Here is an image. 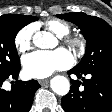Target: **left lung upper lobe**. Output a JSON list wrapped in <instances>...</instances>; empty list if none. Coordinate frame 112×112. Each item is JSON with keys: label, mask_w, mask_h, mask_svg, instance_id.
Returning <instances> with one entry per match:
<instances>
[{"label": "left lung upper lobe", "mask_w": 112, "mask_h": 112, "mask_svg": "<svg viewBox=\"0 0 112 112\" xmlns=\"http://www.w3.org/2000/svg\"><path fill=\"white\" fill-rule=\"evenodd\" d=\"M57 17L76 24L86 39V54L74 68L85 72L104 65H112V27L101 18L83 12Z\"/></svg>", "instance_id": "1"}]
</instances>
